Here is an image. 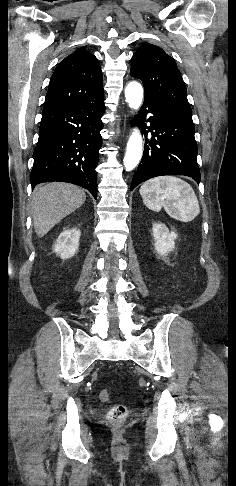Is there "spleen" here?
<instances>
[{
	"instance_id": "1",
	"label": "spleen",
	"mask_w": 236,
	"mask_h": 486,
	"mask_svg": "<svg viewBox=\"0 0 236 486\" xmlns=\"http://www.w3.org/2000/svg\"><path fill=\"white\" fill-rule=\"evenodd\" d=\"M144 204L153 211H165L176 219L189 222L199 213L198 199L192 187L174 176H162L145 182L140 187Z\"/></svg>"
}]
</instances>
